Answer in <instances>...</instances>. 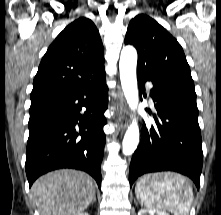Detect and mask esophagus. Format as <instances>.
Listing matches in <instances>:
<instances>
[{
    "instance_id": "obj_1",
    "label": "esophagus",
    "mask_w": 221,
    "mask_h": 215,
    "mask_svg": "<svg viewBox=\"0 0 221 215\" xmlns=\"http://www.w3.org/2000/svg\"><path fill=\"white\" fill-rule=\"evenodd\" d=\"M117 106L120 108L122 115L118 118L116 125L121 129H125L128 125V118L126 116V102L122 92L117 95Z\"/></svg>"
}]
</instances>
